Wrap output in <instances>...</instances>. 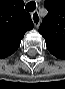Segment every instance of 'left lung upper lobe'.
I'll list each match as a JSON object with an SVG mask.
<instances>
[{
  "instance_id": "5c2ea615",
  "label": "left lung upper lobe",
  "mask_w": 65,
  "mask_h": 89,
  "mask_svg": "<svg viewBox=\"0 0 65 89\" xmlns=\"http://www.w3.org/2000/svg\"><path fill=\"white\" fill-rule=\"evenodd\" d=\"M48 14L44 17L39 33L46 42L65 45V0H45Z\"/></svg>"
}]
</instances>
